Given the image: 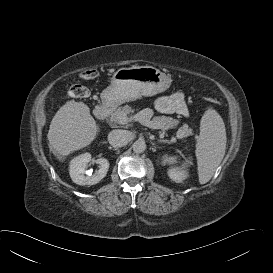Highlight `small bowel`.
Segmentation results:
<instances>
[{
  "instance_id": "small-bowel-1",
  "label": "small bowel",
  "mask_w": 273,
  "mask_h": 273,
  "mask_svg": "<svg viewBox=\"0 0 273 273\" xmlns=\"http://www.w3.org/2000/svg\"><path fill=\"white\" fill-rule=\"evenodd\" d=\"M155 108L163 113H175L182 116L188 114L185 96L180 92L159 97L155 101Z\"/></svg>"
}]
</instances>
